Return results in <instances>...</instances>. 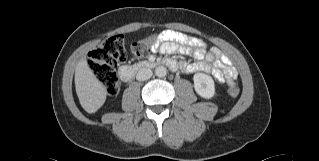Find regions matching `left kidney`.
<instances>
[{"label": "left kidney", "mask_w": 319, "mask_h": 161, "mask_svg": "<svg viewBox=\"0 0 319 161\" xmlns=\"http://www.w3.org/2000/svg\"><path fill=\"white\" fill-rule=\"evenodd\" d=\"M194 88L198 95L210 99L215 94L214 81L211 76L204 73H196L193 77Z\"/></svg>", "instance_id": "obj_1"}]
</instances>
